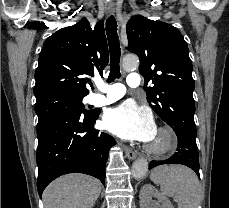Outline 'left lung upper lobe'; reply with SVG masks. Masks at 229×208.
I'll return each mask as SVG.
<instances>
[{
    "instance_id": "5c2ea615",
    "label": "left lung upper lobe",
    "mask_w": 229,
    "mask_h": 208,
    "mask_svg": "<svg viewBox=\"0 0 229 208\" xmlns=\"http://www.w3.org/2000/svg\"><path fill=\"white\" fill-rule=\"evenodd\" d=\"M128 50L140 59L139 72L146 77L147 101L172 128H189L194 123L195 88L189 49L174 26L133 16L127 23Z\"/></svg>"
}]
</instances>
